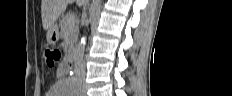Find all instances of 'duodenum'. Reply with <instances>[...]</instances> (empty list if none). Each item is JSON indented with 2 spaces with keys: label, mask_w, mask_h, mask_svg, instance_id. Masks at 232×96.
Here are the masks:
<instances>
[{
  "label": "duodenum",
  "mask_w": 232,
  "mask_h": 96,
  "mask_svg": "<svg viewBox=\"0 0 232 96\" xmlns=\"http://www.w3.org/2000/svg\"><path fill=\"white\" fill-rule=\"evenodd\" d=\"M74 66V57L72 53H69L67 61L62 66V73L67 74Z\"/></svg>",
  "instance_id": "duodenum-1"
}]
</instances>
